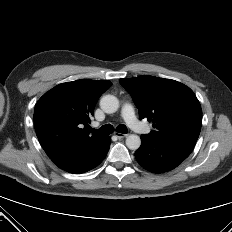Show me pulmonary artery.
<instances>
[{
  "instance_id": "obj_1",
  "label": "pulmonary artery",
  "mask_w": 232,
  "mask_h": 232,
  "mask_svg": "<svg viewBox=\"0 0 232 232\" xmlns=\"http://www.w3.org/2000/svg\"><path fill=\"white\" fill-rule=\"evenodd\" d=\"M122 117L128 126L136 132L139 133H147L149 128L147 125L141 123L136 115L134 107L130 103H126L122 107Z\"/></svg>"
}]
</instances>
